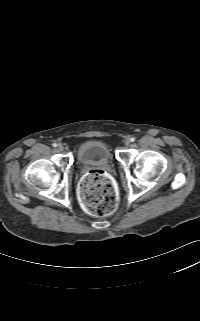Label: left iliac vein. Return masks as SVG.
Listing matches in <instances>:
<instances>
[{"instance_id":"4c4485c4","label":"left iliac vein","mask_w":200,"mask_h":321,"mask_svg":"<svg viewBox=\"0 0 200 321\" xmlns=\"http://www.w3.org/2000/svg\"><path fill=\"white\" fill-rule=\"evenodd\" d=\"M130 143H131L130 139H126V140H125V145H126V146H129Z\"/></svg>"}]
</instances>
